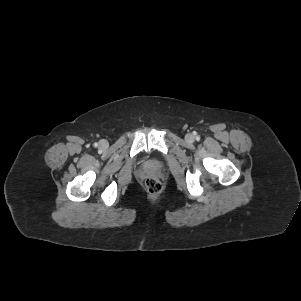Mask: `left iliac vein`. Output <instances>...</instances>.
Here are the masks:
<instances>
[{"mask_svg":"<svg viewBox=\"0 0 301 301\" xmlns=\"http://www.w3.org/2000/svg\"><path fill=\"white\" fill-rule=\"evenodd\" d=\"M185 139L188 142H193L194 141V136L192 134H187Z\"/></svg>","mask_w":301,"mask_h":301,"instance_id":"4c4485c4","label":"left iliac vein"}]
</instances>
